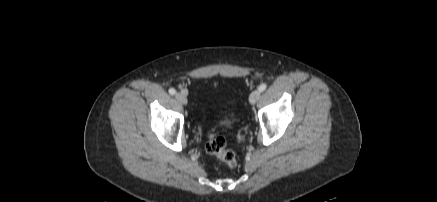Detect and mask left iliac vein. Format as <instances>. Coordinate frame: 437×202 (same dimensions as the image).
<instances>
[{
  "mask_svg": "<svg viewBox=\"0 0 437 202\" xmlns=\"http://www.w3.org/2000/svg\"><path fill=\"white\" fill-rule=\"evenodd\" d=\"M261 92L259 90H254L249 96L250 104H255L260 98Z\"/></svg>",
  "mask_w": 437,
  "mask_h": 202,
  "instance_id": "1",
  "label": "left iliac vein"
}]
</instances>
